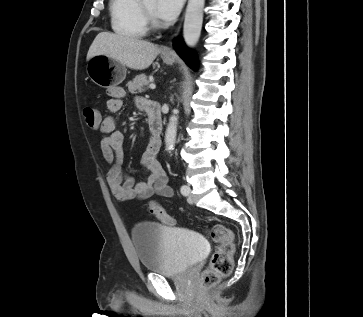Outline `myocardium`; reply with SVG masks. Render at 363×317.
<instances>
[{
  "mask_svg": "<svg viewBox=\"0 0 363 317\" xmlns=\"http://www.w3.org/2000/svg\"><path fill=\"white\" fill-rule=\"evenodd\" d=\"M139 9L147 27L151 29H159L161 27L158 19L145 7L144 0H139Z\"/></svg>",
  "mask_w": 363,
  "mask_h": 317,
  "instance_id": "obj_1",
  "label": "myocardium"
}]
</instances>
